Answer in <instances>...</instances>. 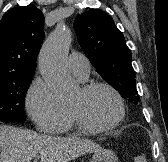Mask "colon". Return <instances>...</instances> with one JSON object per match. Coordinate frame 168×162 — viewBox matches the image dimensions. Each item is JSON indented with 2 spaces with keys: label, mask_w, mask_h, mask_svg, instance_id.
<instances>
[{
  "label": "colon",
  "mask_w": 168,
  "mask_h": 162,
  "mask_svg": "<svg viewBox=\"0 0 168 162\" xmlns=\"http://www.w3.org/2000/svg\"><path fill=\"white\" fill-rule=\"evenodd\" d=\"M134 162H147L145 156L143 155H137L134 157Z\"/></svg>",
  "instance_id": "1"
}]
</instances>
